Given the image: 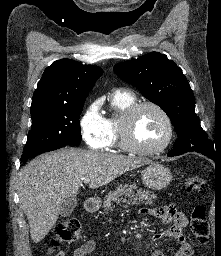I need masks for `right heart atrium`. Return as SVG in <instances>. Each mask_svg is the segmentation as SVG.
<instances>
[{"label": "right heart atrium", "mask_w": 221, "mask_h": 256, "mask_svg": "<svg viewBox=\"0 0 221 256\" xmlns=\"http://www.w3.org/2000/svg\"><path fill=\"white\" fill-rule=\"evenodd\" d=\"M79 127L82 138L88 147L101 150L108 146L106 119L97 102L90 103L81 114Z\"/></svg>", "instance_id": "1"}]
</instances>
